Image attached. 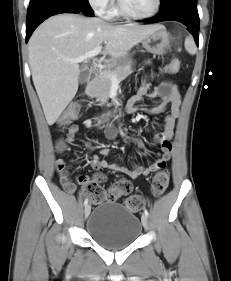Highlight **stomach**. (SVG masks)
Returning a JSON list of instances; mask_svg holds the SVG:
<instances>
[{"mask_svg":"<svg viewBox=\"0 0 231 281\" xmlns=\"http://www.w3.org/2000/svg\"><path fill=\"white\" fill-rule=\"evenodd\" d=\"M141 43L146 51L162 55L170 49L171 37L166 31V29L163 27L144 38ZM126 61L127 57L119 59L117 61V66L124 64Z\"/></svg>","mask_w":231,"mask_h":281,"instance_id":"1","label":"stomach"}]
</instances>
